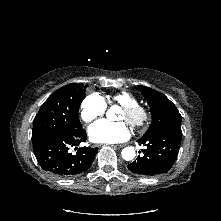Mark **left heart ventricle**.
Here are the masks:
<instances>
[{
	"label": "left heart ventricle",
	"instance_id": "b2bd125f",
	"mask_svg": "<svg viewBox=\"0 0 221 221\" xmlns=\"http://www.w3.org/2000/svg\"><path fill=\"white\" fill-rule=\"evenodd\" d=\"M121 120H126V118H127V115H126V113L124 112V111H121V114H120V117H119Z\"/></svg>",
	"mask_w": 221,
	"mask_h": 221
}]
</instances>
